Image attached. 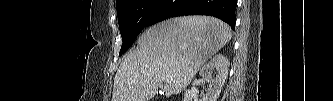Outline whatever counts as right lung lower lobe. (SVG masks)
Masks as SVG:
<instances>
[{
  "mask_svg": "<svg viewBox=\"0 0 333 101\" xmlns=\"http://www.w3.org/2000/svg\"><path fill=\"white\" fill-rule=\"evenodd\" d=\"M236 5L237 0H165L152 24L175 16L211 15L222 19L234 30Z\"/></svg>",
  "mask_w": 333,
  "mask_h": 101,
  "instance_id": "1",
  "label": "right lung lower lobe"
}]
</instances>
